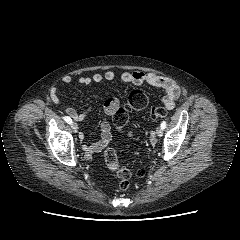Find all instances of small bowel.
Returning <instances> with one entry per match:
<instances>
[{
	"label": "small bowel",
	"instance_id": "obj_1",
	"mask_svg": "<svg viewBox=\"0 0 240 240\" xmlns=\"http://www.w3.org/2000/svg\"><path fill=\"white\" fill-rule=\"evenodd\" d=\"M103 81H119L124 84H132L135 86H149L153 89L161 90L165 93L162 102L166 109L172 110L175 107L176 101L179 98L181 91L179 86L171 79L164 76L147 73L142 71L116 73L114 71H106L105 73H95L91 76H81L78 82L82 85H91L93 83H101ZM72 78L68 75L61 78L62 84H70ZM51 100L55 104H59L60 100L57 94V86L54 85L50 92ZM120 107V100L117 97H109L103 103V111L107 116H113ZM65 112L77 122H82L92 112V108H88L81 113H78L72 107H66ZM83 141L84 135H80ZM112 139L111 126L107 121L101 124V137L93 143H84L83 150L87 156L102 151Z\"/></svg>",
	"mask_w": 240,
	"mask_h": 240
}]
</instances>
